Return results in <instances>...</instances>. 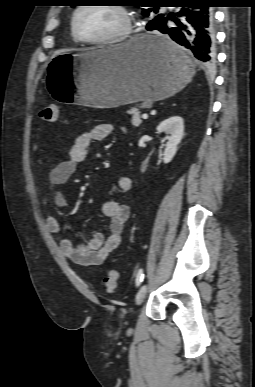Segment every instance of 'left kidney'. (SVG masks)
Masks as SVG:
<instances>
[{
    "instance_id": "left-kidney-1",
    "label": "left kidney",
    "mask_w": 255,
    "mask_h": 387,
    "mask_svg": "<svg viewBox=\"0 0 255 387\" xmlns=\"http://www.w3.org/2000/svg\"><path fill=\"white\" fill-rule=\"evenodd\" d=\"M158 133H165L167 136L166 148L164 150L163 162H171L176 154L177 146L184 134V122L180 116H172L162 121L157 127Z\"/></svg>"
}]
</instances>
